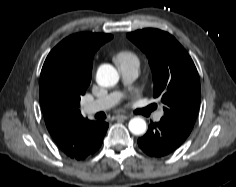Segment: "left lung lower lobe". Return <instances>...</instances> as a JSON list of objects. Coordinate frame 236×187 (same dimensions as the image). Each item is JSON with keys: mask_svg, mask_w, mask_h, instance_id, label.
<instances>
[{"mask_svg": "<svg viewBox=\"0 0 236 187\" xmlns=\"http://www.w3.org/2000/svg\"><path fill=\"white\" fill-rule=\"evenodd\" d=\"M190 133L164 120L152 123L147 133L138 139L139 147L151 157H162L176 150Z\"/></svg>", "mask_w": 236, "mask_h": 187, "instance_id": "obj_1", "label": "left lung lower lobe"}]
</instances>
